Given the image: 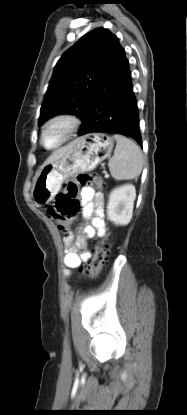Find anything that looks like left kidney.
Listing matches in <instances>:
<instances>
[{"instance_id": "5707ae66", "label": "left kidney", "mask_w": 187, "mask_h": 415, "mask_svg": "<svg viewBox=\"0 0 187 415\" xmlns=\"http://www.w3.org/2000/svg\"><path fill=\"white\" fill-rule=\"evenodd\" d=\"M135 186L126 184L113 189L109 195L107 218L115 225H127L133 214Z\"/></svg>"}]
</instances>
